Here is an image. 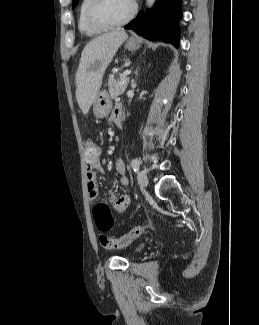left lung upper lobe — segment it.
<instances>
[{
	"label": "left lung upper lobe",
	"instance_id": "1",
	"mask_svg": "<svg viewBox=\"0 0 259 325\" xmlns=\"http://www.w3.org/2000/svg\"><path fill=\"white\" fill-rule=\"evenodd\" d=\"M78 0H72V7L74 8L77 5Z\"/></svg>",
	"mask_w": 259,
	"mask_h": 325
}]
</instances>
